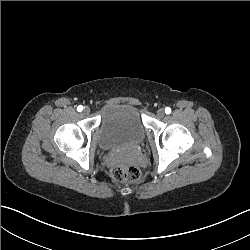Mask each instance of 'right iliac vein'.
<instances>
[{
  "mask_svg": "<svg viewBox=\"0 0 250 250\" xmlns=\"http://www.w3.org/2000/svg\"><path fill=\"white\" fill-rule=\"evenodd\" d=\"M89 113H90V108L89 107H84L83 114L88 115Z\"/></svg>",
  "mask_w": 250,
  "mask_h": 250,
  "instance_id": "right-iliac-vein-1",
  "label": "right iliac vein"
}]
</instances>
